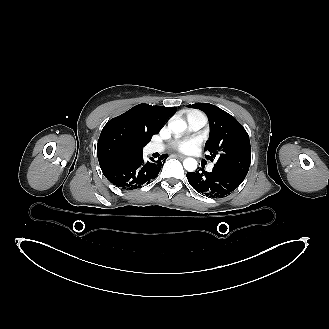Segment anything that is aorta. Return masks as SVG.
Here are the masks:
<instances>
[{
  "mask_svg": "<svg viewBox=\"0 0 329 329\" xmlns=\"http://www.w3.org/2000/svg\"><path fill=\"white\" fill-rule=\"evenodd\" d=\"M168 128L174 133H182L186 130L187 124L181 119L173 120L168 123ZM183 166L188 172H194L197 169V161L194 158H186Z\"/></svg>",
  "mask_w": 329,
  "mask_h": 329,
  "instance_id": "aorta-1",
  "label": "aorta"
}]
</instances>
